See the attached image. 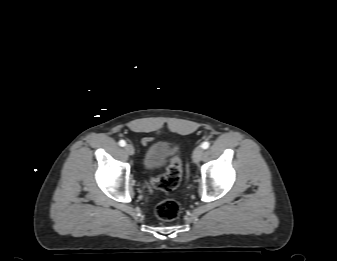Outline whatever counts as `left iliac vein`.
Returning <instances> with one entry per match:
<instances>
[{
  "label": "left iliac vein",
  "mask_w": 337,
  "mask_h": 261,
  "mask_svg": "<svg viewBox=\"0 0 337 261\" xmlns=\"http://www.w3.org/2000/svg\"><path fill=\"white\" fill-rule=\"evenodd\" d=\"M203 155H204L203 148L201 146L196 147L192 156L193 161L195 163H198L202 159Z\"/></svg>",
  "instance_id": "1"
}]
</instances>
